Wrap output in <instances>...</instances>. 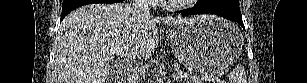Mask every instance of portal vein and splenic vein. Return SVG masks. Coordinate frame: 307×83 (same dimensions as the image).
Segmentation results:
<instances>
[{
  "label": "portal vein and splenic vein",
  "instance_id": "obj_1",
  "mask_svg": "<svg viewBox=\"0 0 307 83\" xmlns=\"http://www.w3.org/2000/svg\"><path fill=\"white\" fill-rule=\"evenodd\" d=\"M105 53L107 54V55H109V56H112V55H120L121 54V51L120 50H117V49H107L106 51H105ZM186 77V75H184V74H182V73H180V72H178V73H176L175 75H173V78L174 79H183V78H185ZM202 78L203 79H207V80H210L208 77H204V76H202Z\"/></svg>",
  "mask_w": 307,
  "mask_h": 83
}]
</instances>
